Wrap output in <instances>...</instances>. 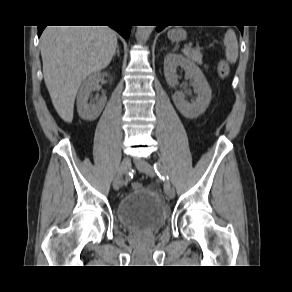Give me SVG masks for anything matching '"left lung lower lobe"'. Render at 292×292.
Instances as JSON below:
<instances>
[{"mask_svg":"<svg viewBox=\"0 0 292 292\" xmlns=\"http://www.w3.org/2000/svg\"><path fill=\"white\" fill-rule=\"evenodd\" d=\"M165 28V25H157V28L156 30L159 32L161 31L162 29ZM238 28L240 29V31L243 33V27L242 26H238Z\"/></svg>","mask_w":292,"mask_h":292,"instance_id":"0a47b994","label":"left lung lower lobe"}]
</instances>
